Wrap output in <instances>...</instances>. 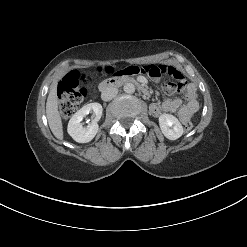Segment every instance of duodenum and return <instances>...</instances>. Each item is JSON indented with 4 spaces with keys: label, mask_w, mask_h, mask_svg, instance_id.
<instances>
[{
    "label": "duodenum",
    "mask_w": 247,
    "mask_h": 247,
    "mask_svg": "<svg viewBox=\"0 0 247 247\" xmlns=\"http://www.w3.org/2000/svg\"><path fill=\"white\" fill-rule=\"evenodd\" d=\"M124 84L135 85L137 89L139 90V92H141L143 95L149 94L148 89L142 83L138 82L137 80L133 78H129V77H115V78L107 79L100 84L99 92L101 94H104L108 90L124 85Z\"/></svg>",
    "instance_id": "1"
}]
</instances>
